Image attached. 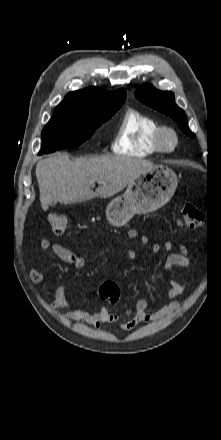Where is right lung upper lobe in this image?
<instances>
[{
    "instance_id": "1",
    "label": "right lung upper lobe",
    "mask_w": 221,
    "mask_h": 440,
    "mask_svg": "<svg viewBox=\"0 0 221 440\" xmlns=\"http://www.w3.org/2000/svg\"><path fill=\"white\" fill-rule=\"evenodd\" d=\"M126 99L125 89L108 92L98 87H89L67 94L57 107L73 109H93L122 106Z\"/></svg>"
}]
</instances>
